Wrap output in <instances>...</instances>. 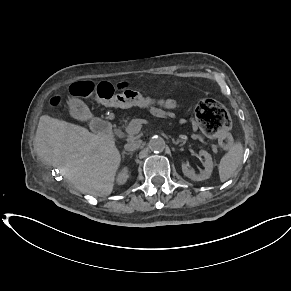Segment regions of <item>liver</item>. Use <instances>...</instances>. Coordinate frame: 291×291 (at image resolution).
<instances>
[{
    "label": "liver",
    "instance_id": "1",
    "mask_svg": "<svg viewBox=\"0 0 291 291\" xmlns=\"http://www.w3.org/2000/svg\"><path fill=\"white\" fill-rule=\"evenodd\" d=\"M35 150L41 158L55 164L81 193L100 197L112 193L121 162L112 138L43 115L36 131Z\"/></svg>",
    "mask_w": 291,
    "mask_h": 291
}]
</instances>
